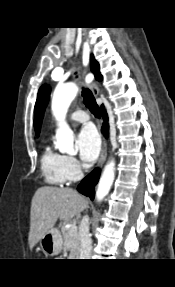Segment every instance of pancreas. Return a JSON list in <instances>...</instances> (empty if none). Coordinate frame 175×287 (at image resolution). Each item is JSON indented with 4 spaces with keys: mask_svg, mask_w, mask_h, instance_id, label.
Masks as SVG:
<instances>
[{
    "mask_svg": "<svg viewBox=\"0 0 175 287\" xmlns=\"http://www.w3.org/2000/svg\"><path fill=\"white\" fill-rule=\"evenodd\" d=\"M59 228L62 232L64 239V249L70 252V258H74L79 255V235L78 233L70 234V228H65L61 223Z\"/></svg>",
    "mask_w": 175,
    "mask_h": 287,
    "instance_id": "1",
    "label": "pancreas"
}]
</instances>
